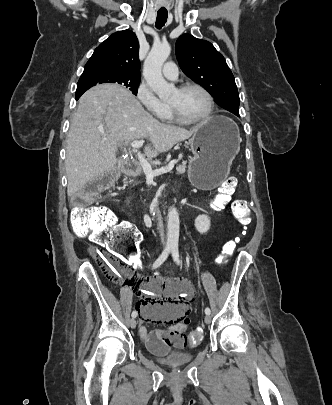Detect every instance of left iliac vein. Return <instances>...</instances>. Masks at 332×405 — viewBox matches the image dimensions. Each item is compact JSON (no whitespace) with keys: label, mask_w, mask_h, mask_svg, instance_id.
Here are the masks:
<instances>
[{"label":"left iliac vein","mask_w":332,"mask_h":405,"mask_svg":"<svg viewBox=\"0 0 332 405\" xmlns=\"http://www.w3.org/2000/svg\"><path fill=\"white\" fill-rule=\"evenodd\" d=\"M204 321H205L206 324H210V323H211V316H210V315H206V316L204 317Z\"/></svg>","instance_id":"4c4485c4"}]
</instances>
